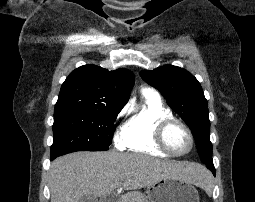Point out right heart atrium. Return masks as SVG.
Listing matches in <instances>:
<instances>
[{
    "mask_svg": "<svg viewBox=\"0 0 255 202\" xmlns=\"http://www.w3.org/2000/svg\"><path fill=\"white\" fill-rule=\"evenodd\" d=\"M124 112H125V109H123V110L118 114V118H120V117L124 114ZM116 144H117L118 146H121V145H122V140H121V138H117V139H116Z\"/></svg>",
    "mask_w": 255,
    "mask_h": 202,
    "instance_id": "d8ad5b80",
    "label": "right heart atrium"
}]
</instances>
